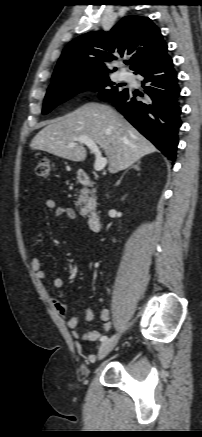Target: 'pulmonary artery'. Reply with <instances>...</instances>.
I'll use <instances>...</instances> for the list:
<instances>
[{
	"instance_id": "obj_1",
	"label": "pulmonary artery",
	"mask_w": 202,
	"mask_h": 437,
	"mask_svg": "<svg viewBox=\"0 0 202 437\" xmlns=\"http://www.w3.org/2000/svg\"><path fill=\"white\" fill-rule=\"evenodd\" d=\"M120 78H121L122 80H127V79L129 78V75H128V73H126V72H121V73H120Z\"/></svg>"
}]
</instances>
